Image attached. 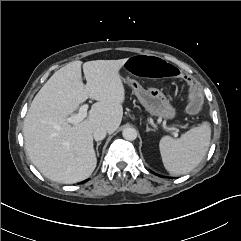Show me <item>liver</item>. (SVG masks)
<instances>
[{
	"label": "liver",
	"mask_w": 241,
	"mask_h": 241,
	"mask_svg": "<svg viewBox=\"0 0 241 241\" xmlns=\"http://www.w3.org/2000/svg\"><path fill=\"white\" fill-rule=\"evenodd\" d=\"M128 58L73 61L56 71L34 97L24 119L25 149L35 167L48 179L73 184L87 179L97 158L93 132L104 127L109 134L123 117L125 89L119 70ZM88 98L97 102L88 117L70 125L67 117Z\"/></svg>",
	"instance_id": "obj_1"
}]
</instances>
